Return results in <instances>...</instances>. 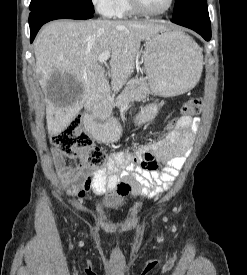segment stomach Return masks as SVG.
<instances>
[{"mask_svg": "<svg viewBox=\"0 0 247 275\" xmlns=\"http://www.w3.org/2000/svg\"><path fill=\"white\" fill-rule=\"evenodd\" d=\"M144 65L151 91L162 97L183 94L198 82L203 58L198 45L182 32L165 29L151 36L144 50ZM155 106L146 107L138 123L154 118ZM97 137L106 142L119 138V129L111 124L96 125Z\"/></svg>", "mask_w": 247, "mask_h": 275, "instance_id": "1", "label": "stomach"}]
</instances>
